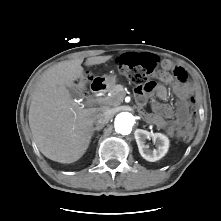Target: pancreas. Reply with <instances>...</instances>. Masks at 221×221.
I'll return each mask as SVG.
<instances>
[{
	"label": "pancreas",
	"mask_w": 221,
	"mask_h": 221,
	"mask_svg": "<svg viewBox=\"0 0 221 221\" xmlns=\"http://www.w3.org/2000/svg\"><path fill=\"white\" fill-rule=\"evenodd\" d=\"M110 94V96L105 97V104L108 106H118L126 96V91L123 85L118 84L110 90Z\"/></svg>",
	"instance_id": "obj_1"
}]
</instances>
